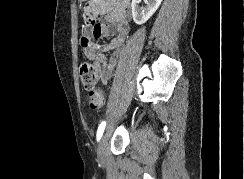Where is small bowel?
<instances>
[{
  "label": "small bowel",
  "mask_w": 244,
  "mask_h": 179,
  "mask_svg": "<svg viewBox=\"0 0 244 179\" xmlns=\"http://www.w3.org/2000/svg\"><path fill=\"white\" fill-rule=\"evenodd\" d=\"M85 5L84 30L80 41L82 51L88 60L99 65L101 80L107 83L125 53L124 45L130 33L129 3L119 0H90ZM98 17L103 18L104 22L97 21ZM110 36H113L110 43L94 42V39Z\"/></svg>",
  "instance_id": "c3829d8e"
}]
</instances>
